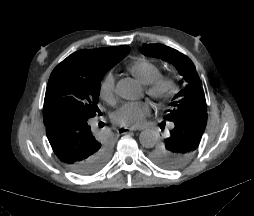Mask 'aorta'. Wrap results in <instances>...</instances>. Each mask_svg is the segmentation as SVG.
Masks as SVG:
<instances>
[{"label": "aorta", "instance_id": "obj_1", "mask_svg": "<svg viewBox=\"0 0 254 216\" xmlns=\"http://www.w3.org/2000/svg\"><path fill=\"white\" fill-rule=\"evenodd\" d=\"M140 141L144 146H151L156 141V134L151 131H145L140 135Z\"/></svg>", "mask_w": 254, "mask_h": 216}]
</instances>
